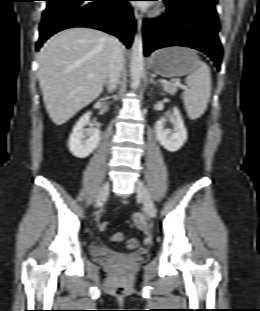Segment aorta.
<instances>
[{
  "label": "aorta",
  "instance_id": "obj_1",
  "mask_svg": "<svg viewBox=\"0 0 260 311\" xmlns=\"http://www.w3.org/2000/svg\"><path fill=\"white\" fill-rule=\"evenodd\" d=\"M144 73L143 44L140 35H135L132 43V56L130 63V75L132 88L137 89Z\"/></svg>",
  "mask_w": 260,
  "mask_h": 311
}]
</instances>
